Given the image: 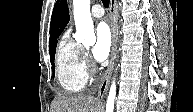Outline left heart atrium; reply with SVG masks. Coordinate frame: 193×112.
<instances>
[{
    "instance_id": "1",
    "label": "left heart atrium",
    "mask_w": 193,
    "mask_h": 112,
    "mask_svg": "<svg viewBox=\"0 0 193 112\" xmlns=\"http://www.w3.org/2000/svg\"><path fill=\"white\" fill-rule=\"evenodd\" d=\"M111 49V33L105 23H100L96 28V42L92 50L96 62L105 61Z\"/></svg>"
}]
</instances>
